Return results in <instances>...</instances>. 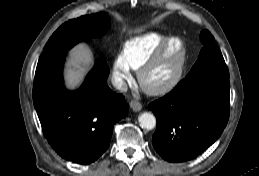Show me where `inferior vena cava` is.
<instances>
[{
  "instance_id": "obj_1",
  "label": "inferior vena cava",
  "mask_w": 259,
  "mask_h": 176,
  "mask_svg": "<svg viewBox=\"0 0 259 176\" xmlns=\"http://www.w3.org/2000/svg\"><path fill=\"white\" fill-rule=\"evenodd\" d=\"M112 85L121 92H126L128 89L127 83L120 77H113L112 78Z\"/></svg>"
}]
</instances>
